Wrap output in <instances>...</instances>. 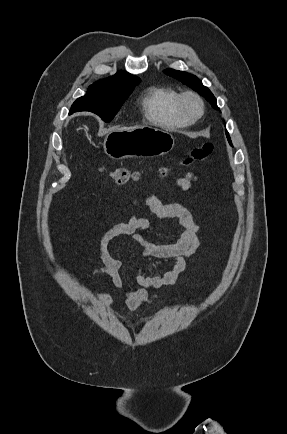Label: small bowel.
Wrapping results in <instances>:
<instances>
[{"mask_svg":"<svg viewBox=\"0 0 287 434\" xmlns=\"http://www.w3.org/2000/svg\"><path fill=\"white\" fill-rule=\"evenodd\" d=\"M196 181L197 176L192 172H188L183 177L171 180L170 184L183 192H188ZM129 204L133 207L146 208L157 218L177 220L184 229L177 241L172 243H157L148 236L150 232L149 221L130 217L126 223L115 224L109 227L101 236L99 241V257L102 265L95 269L93 273L110 276L115 287L118 289L124 288V283L119 273L124 265V261L121 258L112 257L107 252L108 243L116 236H130L140 246L144 261L150 258L171 259L173 261L172 266L161 276H147L144 274L142 267L136 271L134 279L137 287L126 289L124 301L125 307L133 311L142 304L150 303L156 298L155 295H149L148 291L150 289L172 287L176 284L179 276L187 267L188 259L200 246L202 230L195 221V209L192 205L163 203L152 194L137 196L130 200ZM95 297L107 307H115L114 301L108 294L98 292L95 294Z\"/></svg>","mask_w":287,"mask_h":434,"instance_id":"obj_1","label":"small bowel"}]
</instances>
